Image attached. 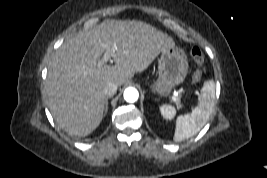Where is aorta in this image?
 Wrapping results in <instances>:
<instances>
[{
    "mask_svg": "<svg viewBox=\"0 0 267 178\" xmlns=\"http://www.w3.org/2000/svg\"><path fill=\"white\" fill-rule=\"evenodd\" d=\"M123 96L126 102L134 103L138 100L139 92L136 88L128 87L125 89Z\"/></svg>",
    "mask_w": 267,
    "mask_h": 178,
    "instance_id": "762f6f07",
    "label": "aorta"
}]
</instances>
